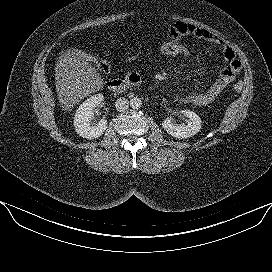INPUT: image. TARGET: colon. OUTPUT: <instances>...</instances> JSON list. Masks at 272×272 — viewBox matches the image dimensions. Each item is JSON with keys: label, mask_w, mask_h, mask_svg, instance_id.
<instances>
[{"label": "colon", "mask_w": 272, "mask_h": 272, "mask_svg": "<svg viewBox=\"0 0 272 272\" xmlns=\"http://www.w3.org/2000/svg\"><path fill=\"white\" fill-rule=\"evenodd\" d=\"M156 48L158 53L161 56L171 60L182 59L184 57H187L190 53L189 47L185 43L181 42L178 39H172V38L159 42ZM69 55L79 60L93 63L94 65H96V67L99 70L103 72H108L110 69V66L106 61L99 60L96 57H94L92 54L86 51L79 50V49H72L69 51ZM242 88H243V83L237 82L233 86V91L239 93L241 92Z\"/></svg>", "instance_id": "5ec220e1"}]
</instances>
